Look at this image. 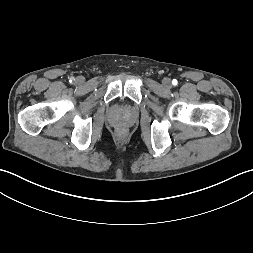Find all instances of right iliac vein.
Returning a JSON list of instances; mask_svg holds the SVG:
<instances>
[{
  "mask_svg": "<svg viewBox=\"0 0 253 253\" xmlns=\"http://www.w3.org/2000/svg\"><path fill=\"white\" fill-rule=\"evenodd\" d=\"M75 81H76L78 84H82V83L85 81V79H84L83 76H78V77L76 78Z\"/></svg>",
  "mask_w": 253,
  "mask_h": 253,
  "instance_id": "1",
  "label": "right iliac vein"
}]
</instances>
